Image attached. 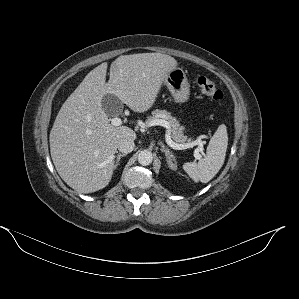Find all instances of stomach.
Masks as SVG:
<instances>
[{
  "label": "stomach",
  "mask_w": 299,
  "mask_h": 299,
  "mask_svg": "<svg viewBox=\"0 0 299 299\" xmlns=\"http://www.w3.org/2000/svg\"><path fill=\"white\" fill-rule=\"evenodd\" d=\"M164 84L169 89L176 103L183 104L188 102L190 98V85L186 73L182 68H174L167 75Z\"/></svg>",
  "instance_id": "obj_1"
}]
</instances>
